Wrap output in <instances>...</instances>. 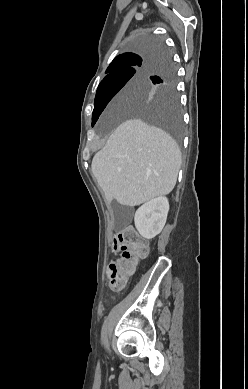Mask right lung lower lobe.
<instances>
[{
    "label": "right lung lower lobe",
    "instance_id": "obj_1",
    "mask_svg": "<svg viewBox=\"0 0 248 389\" xmlns=\"http://www.w3.org/2000/svg\"><path fill=\"white\" fill-rule=\"evenodd\" d=\"M166 52V50H165V48L162 46V48L158 51V55L159 54H163V53H165ZM159 61H163V59H160Z\"/></svg>",
    "mask_w": 248,
    "mask_h": 389
}]
</instances>
